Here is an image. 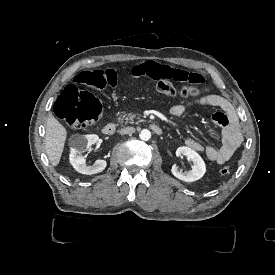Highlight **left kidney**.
I'll return each mask as SVG.
<instances>
[{"label":"left kidney","mask_w":275,"mask_h":275,"mask_svg":"<svg viewBox=\"0 0 275 275\" xmlns=\"http://www.w3.org/2000/svg\"><path fill=\"white\" fill-rule=\"evenodd\" d=\"M177 155H184L188 159H191L194 163V167L189 172L182 173L177 169L176 166H172L171 168V173L173 174L174 177L177 179L183 181V182H195L199 179H201L205 173H206V164L203 160V158L193 149L189 147H179L176 151Z\"/></svg>","instance_id":"5707ae66"}]
</instances>
